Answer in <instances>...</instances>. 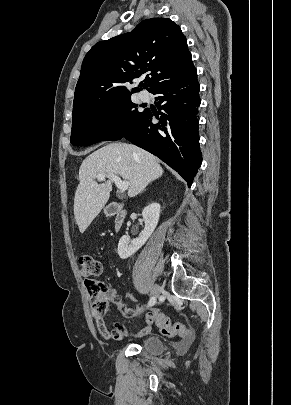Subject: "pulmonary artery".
Wrapping results in <instances>:
<instances>
[{"mask_svg": "<svg viewBox=\"0 0 291 405\" xmlns=\"http://www.w3.org/2000/svg\"><path fill=\"white\" fill-rule=\"evenodd\" d=\"M139 98H140L142 101H146V100H148L149 95H148L147 92L141 91V92L139 93Z\"/></svg>", "mask_w": 291, "mask_h": 405, "instance_id": "obj_1", "label": "pulmonary artery"}]
</instances>
